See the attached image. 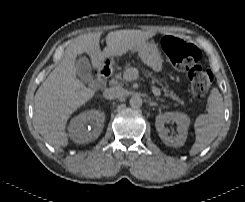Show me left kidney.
I'll use <instances>...</instances> for the list:
<instances>
[{
  "label": "left kidney",
  "instance_id": "1",
  "mask_svg": "<svg viewBox=\"0 0 245 202\" xmlns=\"http://www.w3.org/2000/svg\"><path fill=\"white\" fill-rule=\"evenodd\" d=\"M175 122L177 125V134L175 136H169L168 131L164 124L168 122ZM190 125V118L188 115L181 112H166L156 116L155 127L159 134L160 139L167 146L181 147L184 145L188 127Z\"/></svg>",
  "mask_w": 245,
  "mask_h": 202
}]
</instances>
